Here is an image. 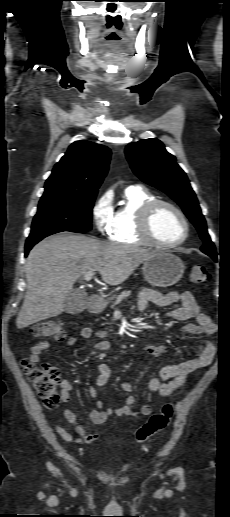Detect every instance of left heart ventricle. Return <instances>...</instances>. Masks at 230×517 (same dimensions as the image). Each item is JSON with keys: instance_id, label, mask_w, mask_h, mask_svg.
<instances>
[{"instance_id": "b2bd125f", "label": "left heart ventricle", "mask_w": 230, "mask_h": 517, "mask_svg": "<svg viewBox=\"0 0 230 517\" xmlns=\"http://www.w3.org/2000/svg\"><path fill=\"white\" fill-rule=\"evenodd\" d=\"M152 230L158 240L170 243L182 238L184 225L180 217L172 209L161 206L153 216Z\"/></svg>"}]
</instances>
